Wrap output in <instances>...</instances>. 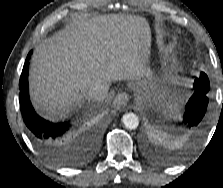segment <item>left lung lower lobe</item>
Listing matches in <instances>:
<instances>
[{
    "instance_id": "1",
    "label": "left lung lower lobe",
    "mask_w": 223,
    "mask_h": 188,
    "mask_svg": "<svg viewBox=\"0 0 223 188\" xmlns=\"http://www.w3.org/2000/svg\"><path fill=\"white\" fill-rule=\"evenodd\" d=\"M208 95L195 91L189 99L183 118L182 134L193 135L197 132L208 106Z\"/></svg>"
}]
</instances>
